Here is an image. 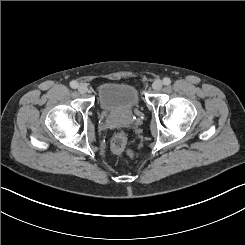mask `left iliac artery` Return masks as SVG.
<instances>
[{"mask_svg": "<svg viewBox=\"0 0 245 245\" xmlns=\"http://www.w3.org/2000/svg\"><path fill=\"white\" fill-rule=\"evenodd\" d=\"M163 84H164V85H170V84H171V79H170V78H167V77L164 78V79H163Z\"/></svg>", "mask_w": 245, "mask_h": 245, "instance_id": "1", "label": "left iliac artery"}]
</instances>
